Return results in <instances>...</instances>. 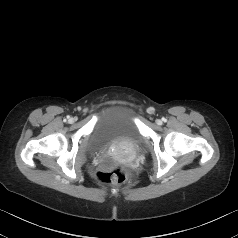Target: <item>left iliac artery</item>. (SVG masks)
Returning a JSON list of instances; mask_svg holds the SVG:
<instances>
[{
    "label": "left iliac artery",
    "instance_id": "44dca946",
    "mask_svg": "<svg viewBox=\"0 0 238 238\" xmlns=\"http://www.w3.org/2000/svg\"><path fill=\"white\" fill-rule=\"evenodd\" d=\"M162 120H163L164 122H166V119H165V118H162Z\"/></svg>",
    "mask_w": 238,
    "mask_h": 238
}]
</instances>
